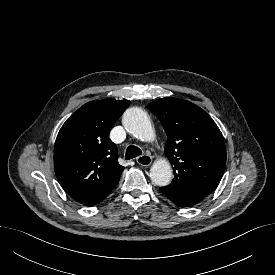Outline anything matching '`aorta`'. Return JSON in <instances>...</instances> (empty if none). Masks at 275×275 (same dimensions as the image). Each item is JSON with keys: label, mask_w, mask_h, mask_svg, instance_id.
<instances>
[{"label": "aorta", "mask_w": 275, "mask_h": 275, "mask_svg": "<svg viewBox=\"0 0 275 275\" xmlns=\"http://www.w3.org/2000/svg\"><path fill=\"white\" fill-rule=\"evenodd\" d=\"M122 123L124 128L136 138L142 141H150L154 138V129L148 115L139 107L126 110ZM150 178L157 186H166L172 180V168L167 160L156 161L150 169Z\"/></svg>", "instance_id": "762f6f07"}]
</instances>
